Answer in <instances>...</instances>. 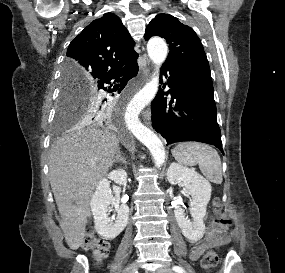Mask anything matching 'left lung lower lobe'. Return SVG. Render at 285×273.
Wrapping results in <instances>:
<instances>
[{"label":"left lung lower lobe","mask_w":285,"mask_h":273,"mask_svg":"<svg viewBox=\"0 0 285 273\" xmlns=\"http://www.w3.org/2000/svg\"><path fill=\"white\" fill-rule=\"evenodd\" d=\"M167 71L171 90L166 93L159 90L152 101L153 127L166 139L167 144L198 141L212 144L224 154L213 84L193 81L172 66L163 65L162 72L166 77ZM169 93L171 101L167 104L164 95Z\"/></svg>","instance_id":"obj_1"}]
</instances>
